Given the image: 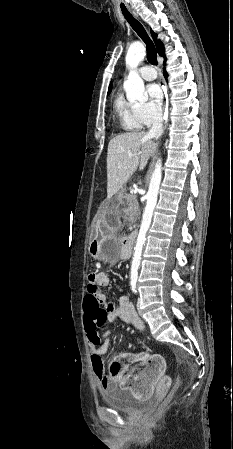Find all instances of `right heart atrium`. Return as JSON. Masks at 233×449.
Returning <instances> with one entry per match:
<instances>
[{
    "mask_svg": "<svg viewBox=\"0 0 233 449\" xmlns=\"http://www.w3.org/2000/svg\"><path fill=\"white\" fill-rule=\"evenodd\" d=\"M136 113L143 125L150 126L162 116L160 108L152 102L136 103Z\"/></svg>",
    "mask_w": 233,
    "mask_h": 449,
    "instance_id": "1",
    "label": "right heart atrium"
}]
</instances>
